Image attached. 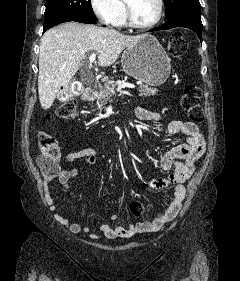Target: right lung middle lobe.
I'll list each match as a JSON object with an SVG mask.
<instances>
[{
    "label": "right lung middle lobe",
    "mask_w": 240,
    "mask_h": 281,
    "mask_svg": "<svg viewBox=\"0 0 240 281\" xmlns=\"http://www.w3.org/2000/svg\"><path fill=\"white\" fill-rule=\"evenodd\" d=\"M91 0H47L44 30L67 21H96Z\"/></svg>",
    "instance_id": "dd1d6c3e"
}]
</instances>
